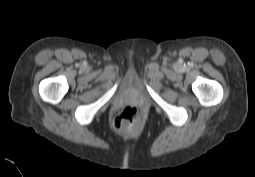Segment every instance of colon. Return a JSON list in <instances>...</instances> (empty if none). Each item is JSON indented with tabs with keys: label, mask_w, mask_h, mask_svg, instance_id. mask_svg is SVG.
I'll list each match as a JSON object with an SVG mask.
<instances>
[{
	"label": "colon",
	"mask_w": 255,
	"mask_h": 177,
	"mask_svg": "<svg viewBox=\"0 0 255 177\" xmlns=\"http://www.w3.org/2000/svg\"><path fill=\"white\" fill-rule=\"evenodd\" d=\"M140 114L137 108L128 106L115 118L116 127L122 128L126 125H134L139 121Z\"/></svg>",
	"instance_id": "1"
}]
</instances>
